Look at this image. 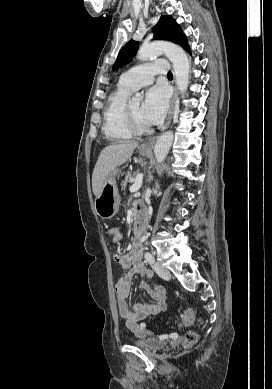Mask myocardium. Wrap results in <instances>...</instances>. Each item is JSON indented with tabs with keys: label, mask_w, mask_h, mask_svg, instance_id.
Here are the masks:
<instances>
[{
	"label": "myocardium",
	"mask_w": 272,
	"mask_h": 389,
	"mask_svg": "<svg viewBox=\"0 0 272 389\" xmlns=\"http://www.w3.org/2000/svg\"><path fill=\"white\" fill-rule=\"evenodd\" d=\"M125 118H126L127 126L132 134L144 135V134H148L151 131L149 126H142L138 123V121L136 120L132 112L130 104H127L126 111H125Z\"/></svg>",
	"instance_id": "f54148a6"
}]
</instances>
